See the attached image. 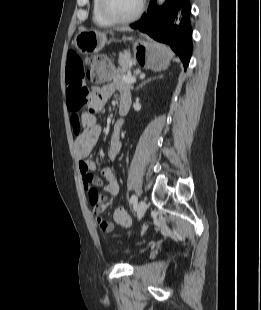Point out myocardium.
<instances>
[{"label": "myocardium", "mask_w": 261, "mask_h": 310, "mask_svg": "<svg viewBox=\"0 0 261 310\" xmlns=\"http://www.w3.org/2000/svg\"><path fill=\"white\" fill-rule=\"evenodd\" d=\"M145 6V0H140L139 7L137 11L128 17H118L112 14L107 7V0H98V8L101 15L113 24H128L137 20L143 13Z\"/></svg>", "instance_id": "myocardium-1"}]
</instances>
